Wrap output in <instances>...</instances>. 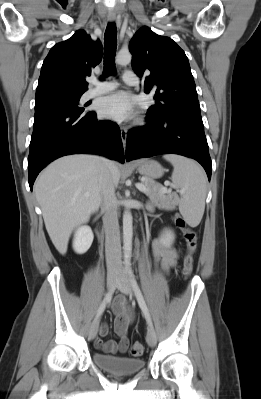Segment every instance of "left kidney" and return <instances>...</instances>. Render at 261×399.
<instances>
[{
  "mask_svg": "<svg viewBox=\"0 0 261 399\" xmlns=\"http://www.w3.org/2000/svg\"><path fill=\"white\" fill-rule=\"evenodd\" d=\"M174 234L170 230H165L161 234V241L165 246H171L174 241Z\"/></svg>",
  "mask_w": 261,
  "mask_h": 399,
  "instance_id": "left-kidney-1",
  "label": "left kidney"
}]
</instances>
